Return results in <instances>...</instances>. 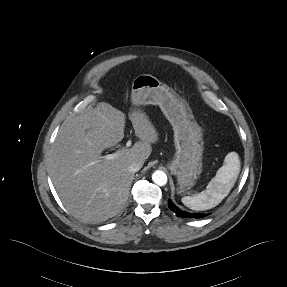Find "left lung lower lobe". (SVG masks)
Segmentation results:
<instances>
[{
    "label": "left lung lower lobe",
    "instance_id": "1",
    "mask_svg": "<svg viewBox=\"0 0 287 287\" xmlns=\"http://www.w3.org/2000/svg\"><path fill=\"white\" fill-rule=\"evenodd\" d=\"M168 206L178 217L182 218H203L206 214H191L185 211L180 210L177 206L173 204L171 200H168Z\"/></svg>",
    "mask_w": 287,
    "mask_h": 287
}]
</instances>
